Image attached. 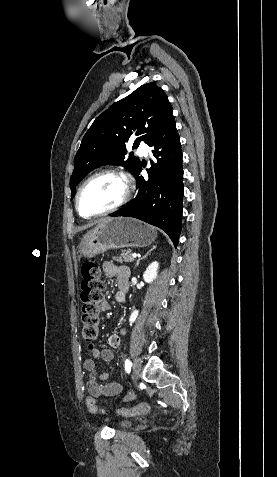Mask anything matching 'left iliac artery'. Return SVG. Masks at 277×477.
<instances>
[{
	"instance_id": "left-iliac-artery-1",
	"label": "left iliac artery",
	"mask_w": 277,
	"mask_h": 477,
	"mask_svg": "<svg viewBox=\"0 0 277 477\" xmlns=\"http://www.w3.org/2000/svg\"><path fill=\"white\" fill-rule=\"evenodd\" d=\"M131 366H132L131 362H130L129 360H126V361H125V369H126V372H127V373L130 372Z\"/></svg>"
}]
</instances>
